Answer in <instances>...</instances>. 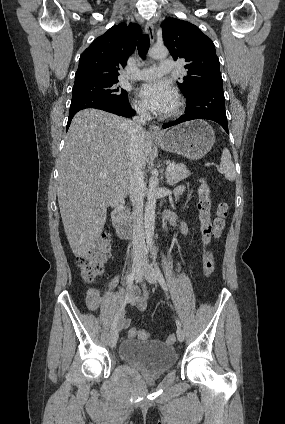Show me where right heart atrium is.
Here are the masks:
<instances>
[{
  "mask_svg": "<svg viewBox=\"0 0 285 424\" xmlns=\"http://www.w3.org/2000/svg\"><path fill=\"white\" fill-rule=\"evenodd\" d=\"M133 107L135 111L141 115H144L147 112L145 106L138 100H135L133 102Z\"/></svg>",
  "mask_w": 285,
  "mask_h": 424,
  "instance_id": "d8ad5b80",
  "label": "right heart atrium"
}]
</instances>
